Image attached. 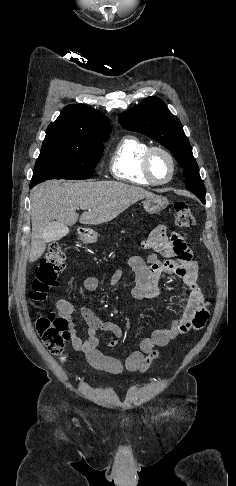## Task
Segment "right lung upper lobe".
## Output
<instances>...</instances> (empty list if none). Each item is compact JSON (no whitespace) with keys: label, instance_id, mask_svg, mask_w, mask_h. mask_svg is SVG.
<instances>
[{"label":"right lung upper lobe","instance_id":"right-lung-upper-lobe-1","mask_svg":"<svg viewBox=\"0 0 236 486\" xmlns=\"http://www.w3.org/2000/svg\"><path fill=\"white\" fill-rule=\"evenodd\" d=\"M109 119L100 111L82 104H71L63 108L57 120L51 123L46 135H68L86 140L109 137Z\"/></svg>","mask_w":236,"mask_h":486}]
</instances>
